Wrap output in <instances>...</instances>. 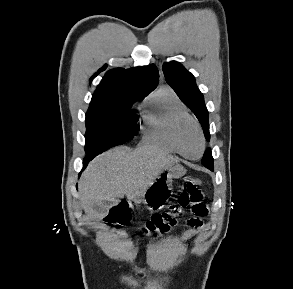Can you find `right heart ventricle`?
Masks as SVG:
<instances>
[{
    "label": "right heart ventricle",
    "mask_w": 293,
    "mask_h": 289,
    "mask_svg": "<svg viewBox=\"0 0 293 289\" xmlns=\"http://www.w3.org/2000/svg\"><path fill=\"white\" fill-rule=\"evenodd\" d=\"M187 109L168 87H160L142 104V141L164 151L177 153L171 140L175 119L187 115Z\"/></svg>",
    "instance_id": "obj_1"
}]
</instances>
